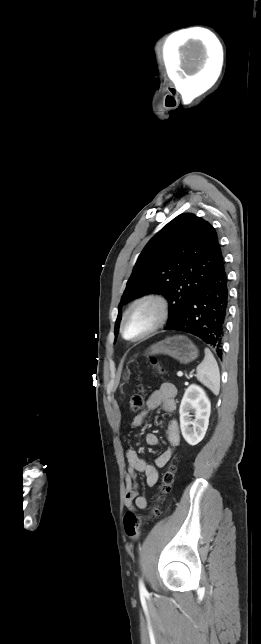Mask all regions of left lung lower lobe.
Masks as SVG:
<instances>
[{
	"label": "left lung lower lobe",
	"instance_id": "1",
	"mask_svg": "<svg viewBox=\"0 0 261 644\" xmlns=\"http://www.w3.org/2000/svg\"><path fill=\"white\" fill-rule=\"evenodd\" d=\"M228 299V278L222 258L182 314L164 329L193 334L221 357Z\"/></svg>",
	"mask_w": 261,
	"mask_h": 644
}]
</instances>
